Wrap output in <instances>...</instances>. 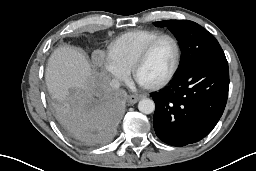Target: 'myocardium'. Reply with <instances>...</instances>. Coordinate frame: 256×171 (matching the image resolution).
<instances>
[{
  "label": "myocardium",
  "mask_w": 256,
  "mask_h": 171,
  "mask_svg": "<svg viewBox=\"0 0 256 171\" xmlns=\"http://www.w3.org/2000/svg\"><path fill=\"white\" fill-rule=\"evenodd\" d=\"M162 39H170L175 47V59H174V63L173 66L170 70V72L168 73V75L153 84H140L147 89H151V90H157L160 88H163L164 86H166L168 83L171 82V80L175 77L179 66H180V62H181V48H180V44L178 42V40L170 35V34H160L159 36L155 37L154 39H152L140 52V54L138 55V57L136 58V60L134 61L132 68H131V72H132V76L133 78L138 82L137 80V73L139 71V69L141 68V66L147 61L151 51L153 50V48L155 47V45L161 41Z\"/></svg>",
  "instance_id": "1"
}]
</instances>
